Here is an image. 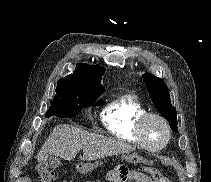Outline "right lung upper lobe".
<instances>
[{"label":"right lung upper lobe","instance_id":"obj_1","mask_svg":"<svg viewBox=\"0 0 211 182\" xmlns=\"http://www.w3.org/2000/svg\"><path fill=\"white\" fill-rule=\"evenodd\" d=\"M105 69L99 65H88L79 63L76 66L73 74L66 76L64 79L72 81L76 84H81L93 87L99 91H105V88L100 83V79L104 74Z\"/></svg>","mask_w":211,"mask_h":182}]
</instances>
